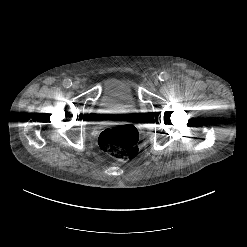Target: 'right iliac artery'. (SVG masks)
Listing matches in <instances>:
<instances>
[{
    "mask_svg": "<svg viewBox=\"0 0 247 247\" xmlns=\"http://www.w3.org/2000/svg\"><path fill=\"white\" fill-rule=\"evenodd\" d=\"M63 86H64L65 88H70V87L72 86L71 80H70V79L64 80Z\"/></svg>",
    "mask_w": 247,
    "mask_h": 247,
    "instance_id": "obj_1",
    "label": "right iliac artery"
}]
</instances>
